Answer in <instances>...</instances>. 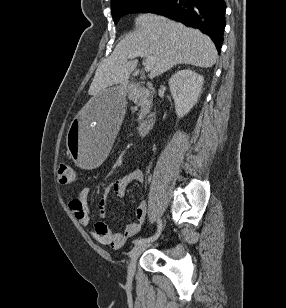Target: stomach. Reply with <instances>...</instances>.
Wrapping results in <instances>:
<instances>
[{
	"instance_id": "obj_1",
	"label": "stomach",
	"mask_w": 286,
	"mask_h": 308,
	"mask_svg": "<svg viewBox=\"0 0 286 308\" xmlns=\"http://www.w3.org/2000/svg\"><path fill=\"white\" fill-rule=\"evenodd\" d=\"M128 85H105L94 97H87L84 109L67 122L68 154L82 171H93L108 161L114 149L117 129H121L128 101Z\"/></svg>"
}]
</instances>
